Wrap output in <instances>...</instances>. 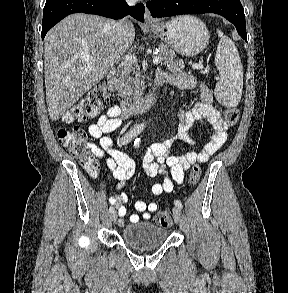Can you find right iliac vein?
Listing matches in <instances>:
<instances>
[{"instance_id": "1", "label": "right iliac vein", "mask_w": 288, "mask_h": 293, "mask_svg": "<svg viewBox=\"0 0 288 293\" xmlns=\"http://www.w3.org/2000/svg\"><path fill=\"white\" fill-rule=\"evenodd\" d=\"M110 219H111V221H112L113 223L116 221V219H117V214H116V212L111 213V215H110Z\"/></svg>"}]
</instances>
